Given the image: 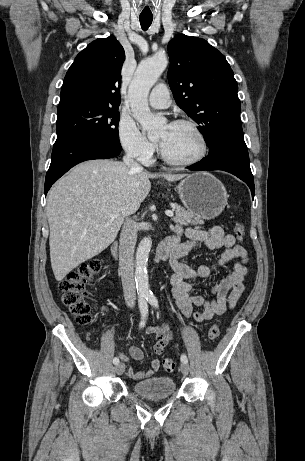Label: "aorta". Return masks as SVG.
Here are the masks:
<instances>
[{
	"mask_svg": "<svg viewBox=\"0 0 305 461\" xmlns=\"http://www.w3.org/2000/svg\"><path fill=\"white\" fill-rule=\"evenodd\" d=\"M167 63L168 61L165 55H156L142 61L136 69L128 90L132 115L141 124L149 138L158 136L166 123L164 117L156 116L151 113L147 97L150 89L165 70ZM151 246V238L144 237L139 243L136 252L135 282L140 297H148L151 295L147 273L148 257Z\"/></svg>",
	"mask_w": 305,
	"mask_h": 461,
	"instance_id": "obj_1",
	"label": "aorta"
}]
</instances>
